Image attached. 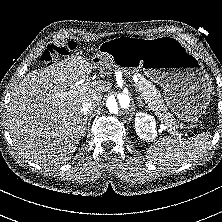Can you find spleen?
Listing matches in <instances>:
<instances>
[{
  "instance_id": "1",
  "label": "spleen",
  "mask_w": 222,
  "mask_h": 222,
  "mask_svg": "<svg viewBox=\"0 0 222 222\" xmlns=\"http://www.w3.org/2000/svg\"><path fill=\"white\" fill-rule=\"evenodd\" d=\"M209 134H200L189 140L161 137L156 145L147 151L150 161L164 166H180L194 162L209 148Z\"/></svg>"
}]
</instances>
